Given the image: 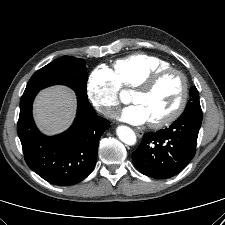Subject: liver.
Returning a JSON list of instances; mask_svg holds the SVG:
<instances>
[{
	"label": "liver",
	"mask_w": 225,
	"mask_h": 225,
	"mask_svg": "<svg viewBox=\"0 0 225 225\" xmlns=\"http://www.w3.org/2000/svg\"><path fill=\"white\" fill-rule=\"evenodd\" d=\"M76 96L68 87L57 85L39 92L34 102V119L39 129L47 135L66 130L76 113Z\"/></svg>",
	"instance_id": "liver-1"
}]
</instances>
